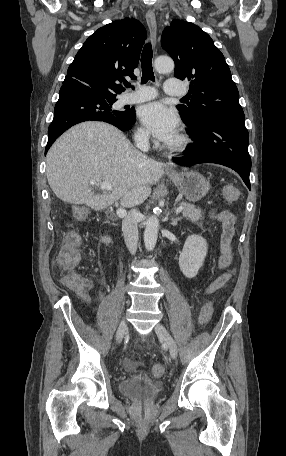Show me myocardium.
Here are the masks:
<instances>
[{
    "label": "myocardium",
    "instance_id": "myocardium-1",
    "mask_svg": "<svg viewBox=\"0 0 286 456\" xmlns=\"http://www.w3.org/2000/svg\"><path fill=\"white\" fill-rule=\"evenodd\" d=\"M191 139L187 133L181 131L177 134L175 140L166 145V148L171 152H182L188 148Z\"/></svg>",
    "mask_w": 286,
    "mask_h": 456
}]
</instances>
